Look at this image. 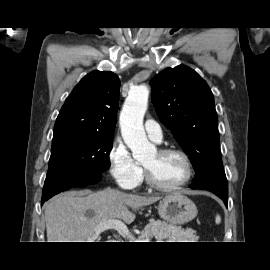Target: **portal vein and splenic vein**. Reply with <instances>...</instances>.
<instances>
[{
	"label": "portal vein and splenic vein",
	"instance_id": "18ae733b",
	"mask_svg": "<svg viewBox=\"0 0 270 270\" xmlns=\"http://www.w3.org/2000/svg\"><path fill=\"white\" fill-rule=\"evenodd\" d=\"M107 229H115L122 237L130 239L129 242H149V239L142 241L135 240V237L129 232L127 226L122 221L117 219L107 220L100 223L96 227L95 231L96 233L100 234Z\"/></svg>",
	"mask_w": 270,
	"mask_h": 270
}]
</instances>
